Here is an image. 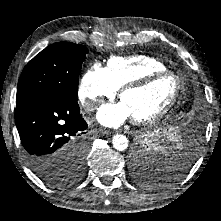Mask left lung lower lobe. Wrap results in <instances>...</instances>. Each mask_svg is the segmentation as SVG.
Here are the masks:
<instances>
[{"label":"left lung lower lobe","instance_id":"0a47b994","mask_svg":"<svg viewBox=\"0 0 221 221\" xmlns=\"http://www.w3.org/2000/svg\"><path fill=\"white\" fill-rule=\"evenodd\" d=\"M178 122L179 121L171 124L168 128V134L164 138L165 140L163 139L161 145L162 149H164V153L158 152L154 155L157 156L159 161L164 160L165 157L173 161L182 154V158L179 159L181 165L177 170L172 171L169 177L165 175L163 176L164 179H158L157 185L169 183L182 176L190 167L195 157L196 149L203 131V121L199 117H194V119L188 123L183 122L180 124ZM138 152L139 151L136 150L132 155L133 166L137 159Z\"/></svg>","mask_w":221,"mask_h":221}]
</instances>
